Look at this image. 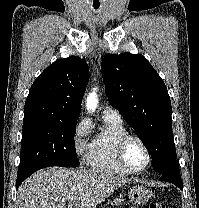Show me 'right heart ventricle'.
<instances>
[{
  "label": "right heart ventricle",
  "instance_id": "1",
  "mask_svg": "<svg viewBox=\"0 0 199 208\" xmlns=\"http://www.w3.org/2000/svg\"><path fill=\"white\" fill-rule=\"evenodd\" d=\"M103 118V128L91 142V149L87 158L91 168L118 175H128L117 160V145L119 140L128 134L122 121Z\"/></svg>",
  "mask_w": 199,
  "mask_h": 208
}]
</instances>
